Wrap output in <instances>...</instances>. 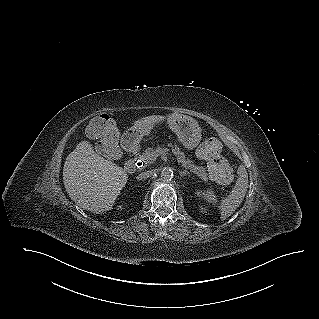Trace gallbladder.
<instances>
[{"label": "gallbladder", "instance_id": "bac80fb5", "mask_svg": "<svg viewBox=\"0 0 319 319\" xmlns=\"http://www.w3.org/2000/svg\"><path fill=\"white\" fill-rule=\"evenodd\" d=\"M117 149H119V146L117 143L107 142V150L105 148V156L110 160H115L116 156L113 154V151Z\"/></svg>", "mask_w": 319, "mask_h": 319}]
</instances>
